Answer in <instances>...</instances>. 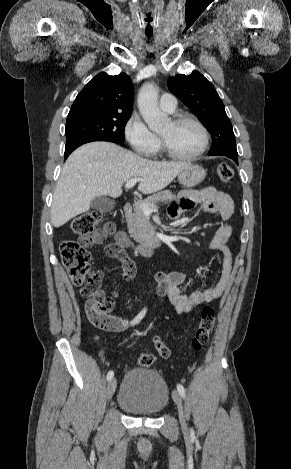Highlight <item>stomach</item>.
<instances>
[{"label": "stomach", "instance_id": "1", "mask_svg": "<svg viewBox=\"0 0 291 469\" xmlns=\"http://www.w3.org/2000/svg\"><path fill=\"white\" fill-rule=\"evenodd\" d=\"M206 171L199 165L190 164L178 174L179 183L185 188H192L201 183Z\"/></svg>", "mask_w": 291, "mask_h": 469}]
</instances>
